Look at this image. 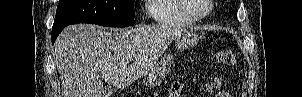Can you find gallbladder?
Listing matches in <instances>:
<instances>
[{
  "instance_id": "obj_1",
  "label": "gallbladder",
  "mask_w": 302,
  "mask_h": 97,
  "mask_svg": "<svg viewBox=\"0 0 302 97\" xmlns=\"http://www.w3.org/2000/svg\"><path fill=\"white\" fill-rule=\"evenodd\" d=\"M111 93H112V88H111V86L107 85L103 88L100 96L109 97Z\"/></svg>"
}]
</instances>
